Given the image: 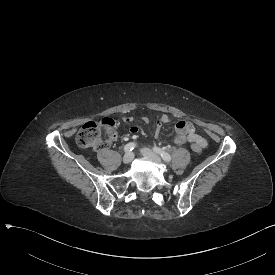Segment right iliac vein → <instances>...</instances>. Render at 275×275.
<instances>
[{
  "label": "right iliac vein",
  "mask_w": 275,
  "mask_h": 275,
  "mask_svg": "<svg viewBox=\"0 0 275 275\" xmlns=\"http://www.w3.org/2000/svg\"><path fill=\"white\" fill-rule=\"evenodd\" d=\"M134 159V154L133 153H126L124 156H123V163L124 164H129L133 161Z\"/></svg>",
  "instance_id": "1"
}]
</instances>
